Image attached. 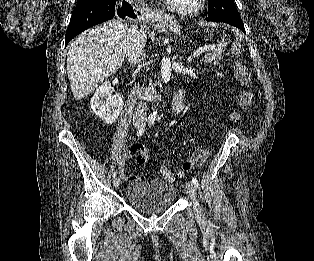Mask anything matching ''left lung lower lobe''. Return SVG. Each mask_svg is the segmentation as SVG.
Listing matches in <instances>:
<instances>
[{
    "mask_svg": "<svg viewBox=\"0 0 314 261\" xmlns=\"http://www.w3.org/2000/svg\"><path fill=\"white\" fill-rule=\"evenodd\" d=\"M207 20L208 21H213V20H211L209 18H207ZM214 22H224V23L230 24L232 26H235V27L241 29L244 33H246L242 21L232 20V21H214Z\"/></svg>",
    "mask_w": 314,
    "mask_h": 261,
    "instance_id": "1",
    "label": "left lung lower lobe"
}]
</instances>
